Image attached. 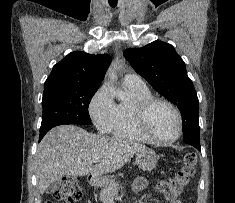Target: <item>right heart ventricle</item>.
<instances>
[{
  "label": "right heart ventricle",
  "mask_w": 235,
  "mask_h": 203,
  "mask_svg": "<svg viewBox=\"0 0 235 203\" xmlns=\"http://www.w3.org/2000/svg\"><path fill=\"white\" fill-rule=\"evenodd\" d=\"M131 92V101H121L116 104L115 115L108 132L115 138L130 139L147 142V140L137 129L133 118V104L142 99L152 97L147 87H135L124 84Z\"/></svg>",
  "instance_id": "right-heart-ventricle-1"
}]
</instances>
